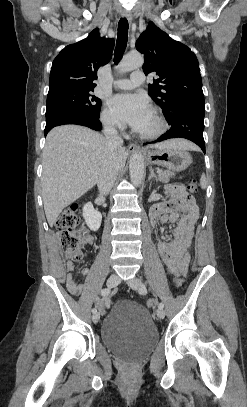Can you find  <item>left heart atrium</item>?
<instances>
[{
    "label": "left heart atrium",
    "mask_w": 247,
    "mask_h": 407,
    "mask_svg": "<svg viewBox=\"0 0 247 407\" xmlns=\"http://www.w3.org/2000/svg\"><path fill=\"white\" fill-rule=\"evenodd\" d=\"M109 103L115 115L135 130L142 125L150 112L147 100L138 94H118L113 96Z\"/></svg>",
    "instance_id": "obj_1"
}]
</instances>
